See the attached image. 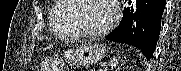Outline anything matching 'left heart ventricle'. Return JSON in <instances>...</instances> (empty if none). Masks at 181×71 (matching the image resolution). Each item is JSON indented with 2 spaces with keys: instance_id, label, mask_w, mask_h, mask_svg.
Masks as SVG:
<instances>
[{
  "instance_id": "b2bd125f",
  "label": "left heart ventricle",
  "mask_w": 181,
  "mask_h": 71,
  "mask_svg": "<svg viewBox=\"0 0 181 71\" xmlns=\"http://www.w3.org/2000/svg\"><path fill=\"white\" fill-rule=\"evenodd\" d=\"M110 7L104 0H84L80 2L79 19L89 30L97 31L110 21Z\"/></svg>"
}]
</instances>
